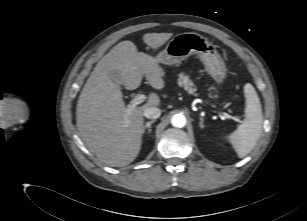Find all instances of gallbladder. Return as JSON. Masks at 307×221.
Listing matches in <instances>:
<instances>
[{"label": "gallbladder", "instance_id": "obj_1", "mask_svg": "<svg viewBox=\"0 0 307 221\" xmlns=\"http://www.w3.org/2000/svg\"><path fill=\"white\" fill-rule=\"evenodd\" d=\"M110 77H111V79H112L114 82H116V83H118V84H120V83L122 82L120 75H119L118 72H116V71L110 72Z\"/></svg>", "mask_w": 307, "mask_h": 221}]
</instances>
